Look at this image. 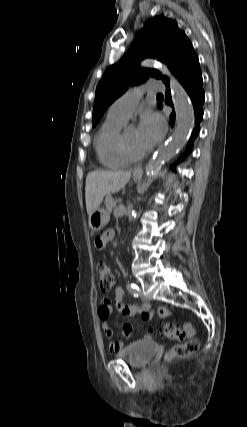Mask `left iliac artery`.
I'll return each instance as SVG.
<instances>
[{
	"mask_svg": "<svg viewBox=\"0 0 247 427\" xmlns=\"http://www.w3.org/2000/svg\"><path fill=\"white\" fill-rule=\"evenodd\" d=\"M127 289H128V291L134 296V297H138L139 296V293H140V289H139V287L136 285V284H134V283H128V285H127Z\"/></svg>",
	"mask_w": 247,
	"mask_h": 427,
	"instance_id": "obj_1",
	"label": "left iliac artery"
}]
</instances>
